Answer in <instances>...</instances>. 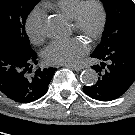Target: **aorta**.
Returning <instances> with one entry per match:
<instances>
[{"label": "aorta", "instance_id": "762f6f07", "mask_svg": "<svg viewBox=\"0 0 135 135\" xmlns=\"http://www.w3.org/2000/svg\"><path fill=\"white\" fill-rule=\"evenodd\" d=\"M45 35L50 39H59L64 34V26L57 20L48 21L44 27ZM80 80L87 86L94 85L98 80L95 70L88 68L82 71Z\"/></svg>", "mask_w": 135, "mask_h": 135}]
</instances>
